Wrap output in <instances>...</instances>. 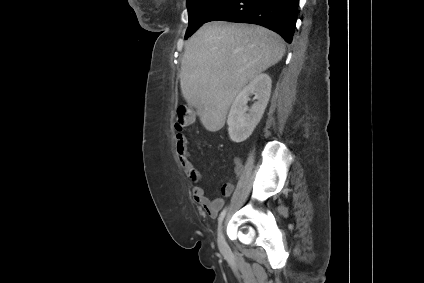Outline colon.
Returning a JSON list of instances; mask_svg holds the SVG:
<instances>
[{"label": "colon", "mask_w": 424, "mask_h": 283, "mask_svg": "<svg viewBox=\"0 0 424 283\" xmlns=\"http://www.w3.org/2000/svg\"><path fill=\"white\" fill-rule=\"evenodd\" d=\"M193 110L188 105H181L178 107L175 115V129L182 131L185 129L193 119Z\"/></svg>", "instance_id": "colon-1"}]
</instances>
